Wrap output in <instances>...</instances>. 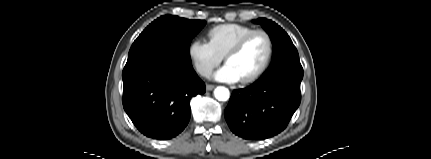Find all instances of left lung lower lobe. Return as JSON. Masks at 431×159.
I'll return each mask as SVG.
<instances>
[{
    "mask_svg": "<svg viewBox=\"0 0 431 159\" xmlns=\"http://www.w3.org/2000/svg\"><path fill=\"white\" fill-rule=\"evenodd\" d=\"M303 70L280 69L234 90L225 109L231 131L247 140H264L282 132L301 101Z\"/></svg>",
    "mask_w": 431,
    "mask_h": 159,
    "instance_id": "left-lung-lower-lobe-1",
    "label": "left lung lower lobe"
}]
</instances>
